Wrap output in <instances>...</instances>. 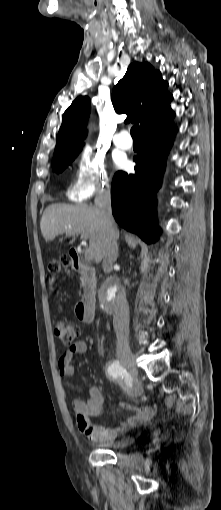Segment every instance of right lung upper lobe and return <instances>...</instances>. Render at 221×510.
Returning <instances> with one entry per match:
<instances>
[{
	"instance_id": "cb5924a9",
	"label": "right lung upper lobe",
	"mask_w": 221,
	"mask_h": 510,
	"mask_svg": "<svg viewBox=\"0 0 221 510\" xmlns=\"http://www.w3.org/2000/svg\"><path fill=\"white\" fill-rule=\"evenodd\" d=\"M168 83L149 63H132L112 92L113 106L118 114H127L125 122L140 123L141 131L174 117L170 107L173 96ZM90 100L80 96L66 109L62 118L54 158L74 148L83 147Z\"/></svg>"
}]
</instances>
